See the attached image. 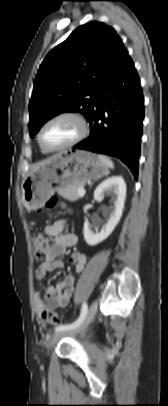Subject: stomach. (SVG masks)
I'll list each match as a JSON object with an SVG mask.
<instances>
[{
  "instance_id": "stomach-1",
  "label": "stomach",
  "mask_w": 168,
  "mask_h": 406,
  "mask_svg": "<svg viewBox=\"0 0 168 406\" xmlns=\"http://www.w3.org/2000/svg\"><path fill=\"white\" fill-rule=\"evenodd\" d=\"M108 173V166L94 153L84 150L61 152L23 180L22 204L27 210H36L43 207L55 191L84 185Z\"/></svg>"
}]
</instances>
